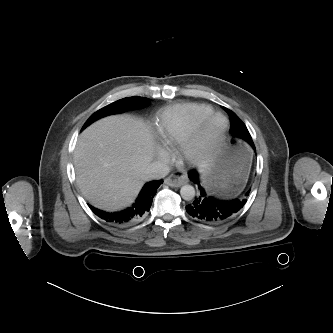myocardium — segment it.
I'll use <instances>...</instances> for the list:
<instances>
[{"label": "myocardium", "mask_w": 333, "mask_h": 333, "mask_svg": "<svg viewBox=\"0 0 333 333\" xmlns=\"http://www.w3.org/2000/svg\"><path fill=\"white\" fill-rule=\"evenodd\" d=\"M229 129L225 115L213 111L197 121L180 145L179 160L189 166H203L214 158Z\"/></svg>", "instance_id": "f54148a6"}]
</instances>
